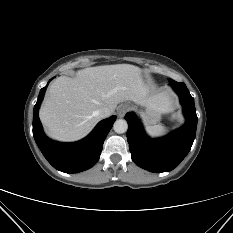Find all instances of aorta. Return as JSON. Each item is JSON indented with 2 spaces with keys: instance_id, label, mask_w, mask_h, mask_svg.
Listing matches in <instances>:
<instances>
[{
  "instance_id": "762f6f07",
  "label": "aorta",
  "mask_w": 233,
  "mask_h": 233,
  "mask_svg": "<svg viewBox=\"0 0 233 233\" xmlns=\"http://www.w3.org/2000/svg\"><path fill=\"white\" fill-rule=\"evenodd\" d=\"M113 129L116 133L122 134V133H125L127 131L128 124H127L126 120L118 119L115 121V123L113 125Z\"/></svg>"
}]
</instances>
